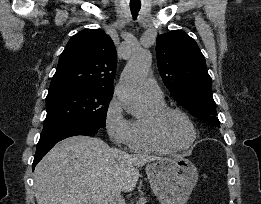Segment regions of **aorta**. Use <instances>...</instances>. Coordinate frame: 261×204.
<instances>
[{"label":"aorta","instance_id":"obj_1","mask_svg":"<svg viewBox=\"0 0 261 204\" xmlns=\"http://www.w3.org/2000/svg\"><path fill=\"white\" fill-rule=\"evenodd\" d=\"M151 63L152 55L149 50H136L125 66L116 89L117 97L125 110L136 118L143 115L140 83L147 76Z\"/></svg>","mask_w":261,"mask_h":204}]
</instances>
